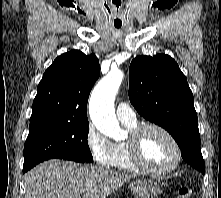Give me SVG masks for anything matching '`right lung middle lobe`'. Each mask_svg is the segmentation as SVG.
<instances>
[{
    "instance_id": "dd1d6c3e",
    "label": "right lung middle lobe",
    "mask_w": 221,
    "mask_h": 198,
    "mask_svg": "<svg viewBox=\"0 0 221 198\" xmlns=\"http://www.w3.org/2000/svg\"><path fill=\"white\" fill-rule=\"evenodd\" d=\"M88 130V121L43 120L30 123L24 145L23 169H30L52 158L91 163L93 157L87 141Z\"/></svg>"
}]
</instances>
